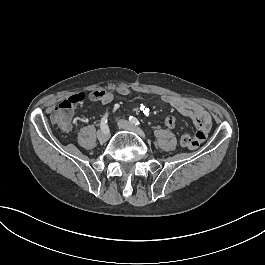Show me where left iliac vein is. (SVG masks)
<instances>
[{
    "label": "left iliac vein",
    "instance_id": "1",
    "mask_svg": "<svg viewBox=\"0 0 265 265\" xmlns=\"http://www.w3.org/2000/svg\"><path fill=\"white\" fill-rule=\"evenodd\" d=\"M118 126L124 130L127 131H133L135 132L137 135H139L142 138H146L145 133L138 127L134 126L132 123H130L127 120H119L118 121Z\"/></svg>",
    "mask_w": 265,
    "mask_h": 265
}]
</instances>
